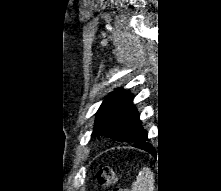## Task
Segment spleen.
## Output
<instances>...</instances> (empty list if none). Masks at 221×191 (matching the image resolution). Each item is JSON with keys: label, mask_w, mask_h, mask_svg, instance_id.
Returning a JSON list of instances; mask_svg holds the SVG:
<instances>
[{"label": "spleen", "mask_w": 221, "mask_h": 191, "mask_svg": "<svg viewBox=\"0 0 221 191\" xmlns=\"http://www.w3.org/2000/svg\"><path fill=\"white\" fill-rule=\"evenodd\" d=\"M155 178L150 168L144 167L132 184V191H154Z\"/></svg>", "instance_id": "obj_1"}]
</instances>
